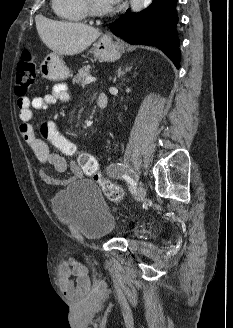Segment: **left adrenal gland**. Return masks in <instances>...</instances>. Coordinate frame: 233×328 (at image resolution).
I'll return each instance as SVG.
<instances>
[{"instance_id": "a2214340", "label": "left adrenal gland", "mask_w": 233, "mask_h": 328, "mask_svg": "<svg viewBox=\"0 0 233 328\" xmlns=\"http://www.w3.org/2000/svg\"><path fill=\"white\" fill-rule=\"evenodd\" d=\"M131 69H132V66L131 67H127L125 69V71L123 72L122 69H121V67H119L118 74H117L118 78H120L121 76H123L126 72L130 71Z\"/></svg>"}]
</instances>
